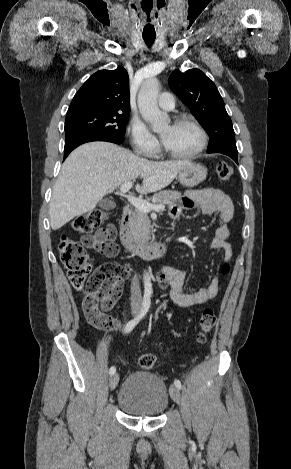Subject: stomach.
I'll return each instance as SVG.
<instances>
[{
    "instance_id": "obj_1",
    "label": "stomach",
    "mask_w": 291,
    "mask_h": 469,
    "mask_svg": "<svg viewBox=\"0 0 291 469\" xmlns=\"http://www.w3.org/2000/svg\"><path fill=\"white\" fill-rule=\"evenodd\" d=\"M206 176L207 169L204 166L191 162L179 172L178 179L183 186L192 188L205 180Z\"/></svg>"
}]
</instances>
